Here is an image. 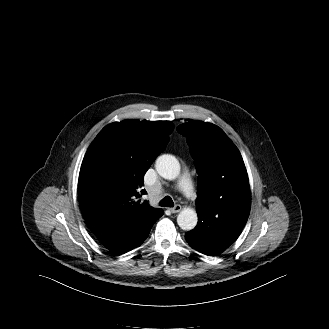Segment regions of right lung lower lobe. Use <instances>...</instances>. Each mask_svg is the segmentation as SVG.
Here are the masks:
<instances>
[{
	"mask_svg": "<svg viewBox=\"0 0 329 329\" xmlns=\"http://www.w3.org/2000/svg\"><path fill=\"white\" fill-rule=\"evenodd\" d=\"M162 214L163 211L142 225L112 228L97 238L102 245L115 255L124 254L135 247H139L144 242L153 224Z\"/></svg>",
	"mask_w": 329,
	"mask_h": 329,
	"instance_id": "98d812e1",
	"label": "right lung lower lobe"
}]
</instances>
